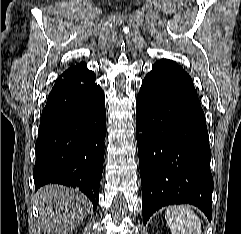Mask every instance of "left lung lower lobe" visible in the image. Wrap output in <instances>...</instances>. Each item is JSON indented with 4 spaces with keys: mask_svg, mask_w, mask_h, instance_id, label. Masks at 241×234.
<instances>
[{
    "mask_svg": "<svg viewBox=\"0 0 241 234\" xmlns=\"http://www.w3.org/2000/svg\"><path fill=\"white\" fill-rule=\"evenodd\" d=\"M144 224L163 206L190 203L212 218L211 151L204 112L190 76L157 61L136 99Z\"/></svg>",
    "mask_w": 241,
    "mask_h": 234,
    "instance_id": "0a47b994",
    "label": "left lung lower lobe"
}]
</instances>
